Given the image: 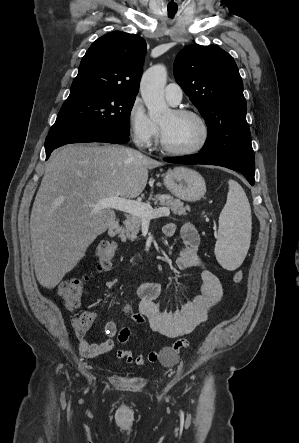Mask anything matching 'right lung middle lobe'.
<instances>
[{
  "mask_svg": "<svg viewBox=\"0 0 299 443\" xmlns=\"http://www.w3.org/2000/svg\"><path fill=\"white\" fill-rule=\"evenodd\" d=\"M135 99L136 96L101 89H71L48 135L66 136L103 129L129 135Z\"/></svg>",
  "mask_w": 299,
  "mask_h": 443,
  "instance_id": "right-lung-middle-lobe-1",
  "label": "right lung middle lobe"
}]
</instances>
